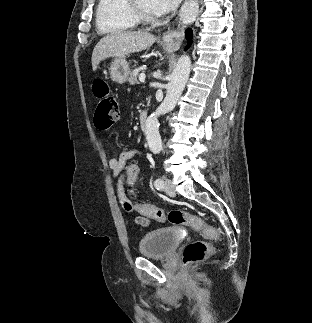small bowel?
Segmentation results:
<instances>
[{"label": "small bowel", "mask_w": 312, "mask_h": 323, "mask_svg": "<svg viewBox=\"0 0 312 323\" xmlns=\"http://www.w3.org/2000/svg\"><path fill=\"white\" fill-rule=\"evenodd\" d=\"M142 155V151L139 148H131L126 149L120 152L117 155H112L108 160V166L112 171L114 177L117 179V194L120 199H127L126 193L124 190V174H121V167H125L122 165V158H136ZM136 207V206H132ZM158 219L155 216H136V223L141 226H148L151 221Z\"/></svg>", "instance_id": "c3829d8e"}]
</instances>
